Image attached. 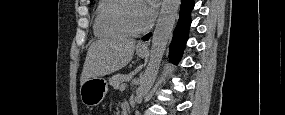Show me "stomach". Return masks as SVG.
<instances>
[{"label": "stomach", "mask_w": 285, "mask_h": 115, "mask_svg": "<svg viewBox=\"0 0 285 115\" xmlns=\"http://www.w3.org/2000/svg\"><path fill=\"white\" fill-rule=\"evenodd\" d=\"M138 56L143 57L146 51L136 49ZM108 91L107 82L101 77L90 78L80 86V97L82 103L87 107H95L104 99Z\"/></svg>", "instance_id": "1"}]
</instances>
